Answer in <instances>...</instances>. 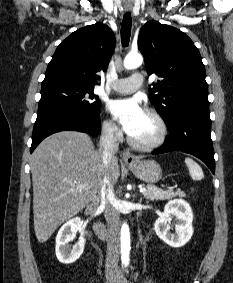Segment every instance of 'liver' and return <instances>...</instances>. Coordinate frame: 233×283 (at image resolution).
Returning <instances> with one entry per match:
<instances>
[{
    "label": "liver",
    "mask_w": 233,
    "mask_h": 283,
    "mask_svg": "<svg viewBox=\"0 0 233 283\" xmlns=\"http://www.w3.org/2000/svg\"><path fill=\"white\" fill-rule=\"evenodd\" d=\"M34 229L38 242H46L65 221L95 198L109 176L111 186L120 176L117 157L104 168L102 153L91 138L77 131H62L44 139L31 157ZM77 184H88L79 189Z\"/></svg>",
    "instance_id": "1"
}]
</instances>
